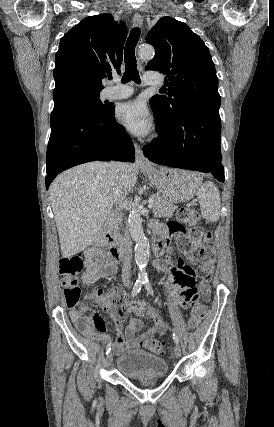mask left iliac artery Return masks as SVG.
<instances>
[{"label":"left iliac artery","mask_w":274,"mask_h":427,"mask_svg":"<svg viewBox=\"0 0 274 427\" xmlns=\"http://www.w3.org/2000/svg\"><path fill=\"white\" fill-rule=\"evenodd\" d=\"M143 284H144V286H145V289L147 290V292L150 294V295H154V293H153V289H152V285L150 284V282H149V280H145L144 282H143ZM172 336H173V340L175 341V343L176 344H178L179 343V338H178V336L176 335V333L173 331V334H172Z\"/></svg>","instance_id":"44dca946"}]
</instances>
